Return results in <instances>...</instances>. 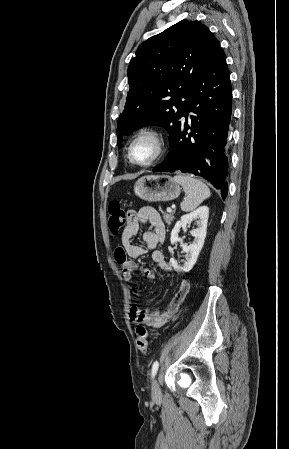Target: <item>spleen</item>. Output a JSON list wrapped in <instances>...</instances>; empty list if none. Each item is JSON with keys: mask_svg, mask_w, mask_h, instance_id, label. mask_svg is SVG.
<instances>
[{"mask_svg": "<svg viewBox=\"0 0 289 449\" xmlns=\"http://www.w3.org/2000/svg\"><path fill=\"white\" fill-rule=\"evenodd\" d=\"M173 179L183 187L184 192L187 195L180 205L184 212L196 209L211 195L208 186L199 179L184 174H177Z\"/></svg>", "mask_w": 289, "mask_h": 449, "instance_id": "1", "label": "spleen"}]
</instances>
